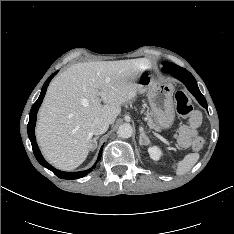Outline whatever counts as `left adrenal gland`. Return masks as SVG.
Here are the masks:
<instances>
[{
  "label": "left adrenal gland",
  "instance_id": "left-adrenal-gland-1",
  "mask_svg": "<svg viewBox=\"0 0 234 234\" xmlns=\"http://www.w3.org/2000/svg\"><path fill=\"white\" fill-rule=\"evenodd\" d=\"M140 131V136H139V144L140 145H148L150 144V140L147 137V135L145 134L144 130L142 127L139 128Z\"/></svg>",
  "mask_w": 234,
  "mask_h": 234
}]
</instances>
